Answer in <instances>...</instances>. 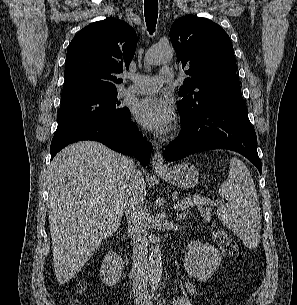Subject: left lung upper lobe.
<instances>
[{"mask_svg": "<svg viewBox=\"0 0 297 305\" xmlns=\"http://www.w3.org/2000/svg\"><path fill=\"white\" fill-rule=\"evenodd\" d=\"M177 61L186 69L177 103L182 115H190L206 104L240 92L234 50L228 34L206 18L187 15L170 29Z\"/></svg>", "mask_w": 297, "mask_h": 305, "instance_id": "obj_1", "label": "left lung upper lobe"}]
</instances>
